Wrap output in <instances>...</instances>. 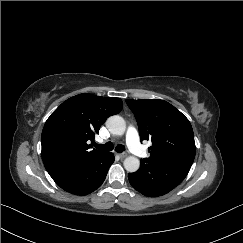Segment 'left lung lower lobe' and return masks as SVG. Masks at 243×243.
<instances>
[{
  "mask_svg": "<svg viewBox=\"0 0 243 243\" xmlns=\"http://www.w3.org/2000/svg\"><path fill=\"white\" fill-rule=\"evenodd\" d=\"M194 159L172 158L156 163H140L135 173L128 174L130 184L143 195H164L179 185L188 174Z\"/></svg>",
  "mask_w": 243,
  "mask_h": 243,
  "instance_id": "obj_1",
  "label": "left lung lower lobe"
}]
</instances>
